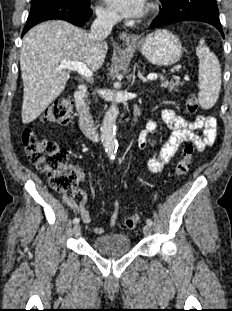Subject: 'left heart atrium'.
Returning <instances> with one entry per match:
<instances>
[{"instance_id":"obj_1","label":"left heart atrium","mask_w":232,"mask_h":311,"mask_svg":"<svg viewBox=\"0 0 232 311\" xmlns=\"http://www.w3.org/2000/svg\"><path fill=\"white\" fill-rule=\"evenodd\" d=\"M123 17H139L145 10V0H105Z\"/></svg>"}]
</instances>
